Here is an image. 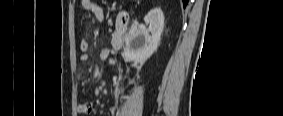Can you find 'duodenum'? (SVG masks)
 <instances>
[{"label": "duodenum", "instance_id": "410a0bca", "mask_svg": "<svg viewBox=\"0 0 283 116\" xmlns=\"http://www.w3.org/2000/svg\"><path fill=\"white\" fill-rule=\"evenodd\" d=\"M129 13L125 10L119 11L116 18L115 39L113 42L114 50H121L124 47L125 38L129 28Z\"/></svg>", "mask_w": 283, "mask_h": 116}]
</instances>
